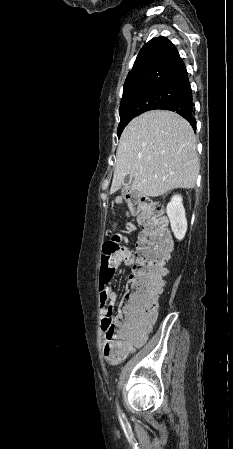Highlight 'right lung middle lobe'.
<instances>
[{"mask_svg": "<svg viewBox=\"0 0 233 449\" xmlns=\"http://www.w3.org/2000/svg\"><path fill=\"white\" fill-rule=\"evenodd\" d=\"M181 95L182 91L179 88L155 86L123 96L119 108L118 137L134 117L149 110L159 109L162 105L180 98Z\"/></svg>", "mask_w": 233, "mask_h": 449, "instance_id": "right-lung-middle-lobe-1", "label": "right lung middle lobe"}]
</instances>
